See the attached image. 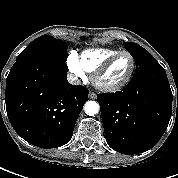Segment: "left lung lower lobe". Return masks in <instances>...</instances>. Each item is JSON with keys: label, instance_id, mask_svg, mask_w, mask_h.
Masks as SVG:
<instances>
[{"label": "left lung lower lobe", "instance_id": "left-lung-lower-lobe-1", "mask_svg": "<svg viewBox=\"0 0 178 178\" xmlns=\"http://www.w3.org/2000/svg\"><path fill=\"white\" fill-rule=\"evenodd\" d=\"M97 101L108 145L128 155L155 146L172 113V92L165 70L132 78L122 91L99 94Z\"/></svg>", "mask_w": 178, "mask_h": 178}]
</instances>
